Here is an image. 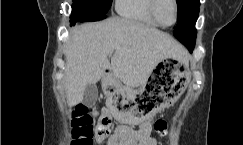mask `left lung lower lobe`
Returning <instances> with one entry per match:
<instances>
[{"label": "left lung lower lobe", "mask_w": 243, "mask_h": 145, "mask_svg": "<svg viewBox=\"0 0 243 145\" xmlns=\"http://www.w3.org/2000/svg\"><path fill=\"white\" fill-rule=\"evenodd\" d=\"M179 25H182L185 28L186 34L184 36L178 38V40L181 43H183L190 52H192L194 49L195 40H196L195 25H190L186 20L179 22Z\"/></svg>", "instance_id": "left-lung-lower-lobe-1"}]
</instances>
